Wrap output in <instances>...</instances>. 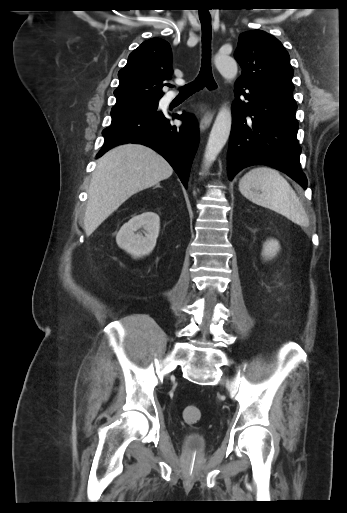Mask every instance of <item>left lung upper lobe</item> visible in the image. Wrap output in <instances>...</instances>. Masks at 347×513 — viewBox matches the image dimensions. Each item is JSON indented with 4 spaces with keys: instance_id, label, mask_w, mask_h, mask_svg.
<instances>
[{
    "instance_id": "left-lung-upper-lobe-1",
    "label": "left lung upper lobe",
    "mask_w": 347,
    "mask_h": 513,
    "mask_svg": "<svg viewBox=\"0 0 347 513\" xmlns=\"http://www.w3.org/2000/svg\"><path fill=\"white\" fill-rule=\"evenodd\" d=\"M234 56L242 68L237 81L294 88L289 54L272 35L262 30L242 33Z\"/></svg>"
}]
</instances>
